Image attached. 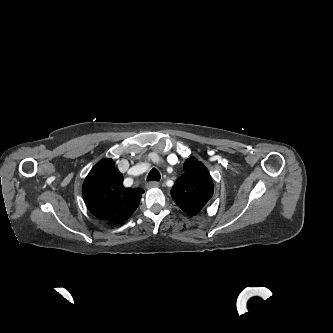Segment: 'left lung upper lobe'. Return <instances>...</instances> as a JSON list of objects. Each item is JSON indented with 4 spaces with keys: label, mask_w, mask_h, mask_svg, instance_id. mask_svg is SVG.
<instances>
[{
    "label": "left lung upper lobe",
    "mask_w": 333,
    "mask_h": 333,
    "mask_svg": "<svg viewBox=\"0 0 333 333\" xmlns=\"http://www.w3.org/2000/svg\"><path fill=\"white\" fill-rule=\"evenodd\" d=\"M214 185L207 168L195 158L184 163V173L171 190L175 203L188 215L197 214L212 197Z\"/></svg>",
    "instance_id": "1"
}]
</instances>
